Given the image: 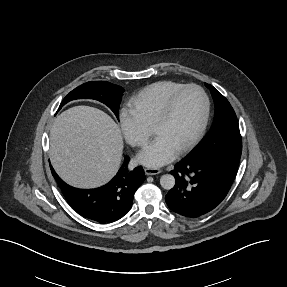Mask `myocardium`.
Masks as SVG:
<instances>
[{"mask_svg": "<svg viewBox=\"0 0 287 287\" xmlns=\"http://www.w3.org/2000/svg\"><path fill=\"white\" fill-rule=\"evenodd\" d=\"M187 90H196L197 92H199V94L202 97V101H203V112H202L201 121L197 129L195 130L193 135L189 138V140L180 149H178L179 153H183L189 150L191 147H193L196 144V142L200 139V137L202 136V134L204 133L206 129L208 119H209V111H210V102H209V98L206 92L200 86L196 84H187V85L181 86L180 88H178L177 90H175L168 96L161 111L159 112L158 116L156 117L152 125V132L154 133L155 129L169 118L174 102L177 99V97L181 93Z\"/></svg>", "mask_w": 287, "mask_h": 287, "instance_id": "f54148a6", "label": "myocardium"}]
</instances>
